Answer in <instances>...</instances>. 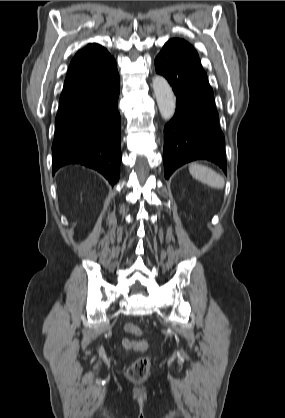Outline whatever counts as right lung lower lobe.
<instances>
[{
  "label": "right lung lower lobe",
  "instance_id": "right-lung-lower-lobe-1",
  "mask_svg": "<svg viewBox=\"0 0 285 418\" xmlns=\"http://www.w3.org/2000/svg\"><path fill=\"white\" fill-rule=\"evenodd\" d=\"M118 71L98 84L60 101L52 144L53 172L81 164L114 185L120 175L121 118L117 109Z\"/></svg>",
  "mask_w": 285,
  "mask_h": 418
}]
</instances>
